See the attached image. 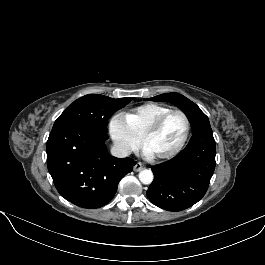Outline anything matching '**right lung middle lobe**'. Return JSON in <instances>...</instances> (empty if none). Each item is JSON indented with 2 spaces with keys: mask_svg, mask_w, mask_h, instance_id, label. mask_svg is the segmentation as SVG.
Here are the masks:
<instances>
[{
  "mask_svg": "<svg viewBox=\"0 0 265 265\" xmlns=\"http://www.w3.org/2000/svg\"><path fill=\"white\" fill-rule=\"evenodd\" d=\"M131 100V97L113 99L99 94L85 95L64 110L55 121L53 128L64 124H78L107 134L108 119Z\"/></svg>",
  "mask_w": 265,
  "mask_h": 265,
  "instance_id": "obj_1",
  "label": "right lung middle lobe"
}]
</instances>
